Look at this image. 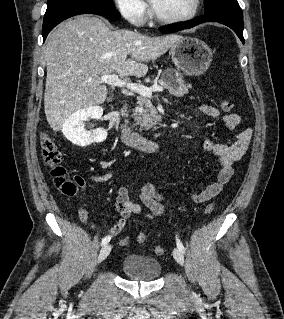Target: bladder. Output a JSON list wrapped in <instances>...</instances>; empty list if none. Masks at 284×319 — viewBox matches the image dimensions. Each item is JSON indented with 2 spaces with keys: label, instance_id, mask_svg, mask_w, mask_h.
<instances>
[{
  "label": "bladder",
  "instance_id": "1",
  "mask_svg": "<svg viewBox=\"0 0 284 319\" xmlns=\"http://www.w3.org/2000/svg\"><path fill=\"white\" fill-rule=\"evenodd\" d=\"M121 270L125 276L132 280L153 281L160 276L162 266L156 258L132 253L123 258Z\"/></svg>",
  "mask_w": 284,
  "mask_h": 319
}]
</instances>
